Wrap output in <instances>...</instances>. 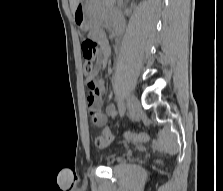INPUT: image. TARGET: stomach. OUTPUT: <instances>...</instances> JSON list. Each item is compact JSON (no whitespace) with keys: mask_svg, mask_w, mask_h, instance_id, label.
<instances>
[{"mask_svg":"<svg viewBox=\"0 0 223 191\" xmlns=\"http://www.w3.org/2000/svg\"><path fill=\"white\" fill-rule=\"evenodd\" d=\"M89 4L90 0H80L74 11L75 23L83 31H89L93 26Z\"/></svg>","mask_w":223,"mask_h":191,"instance_id":"1","label":"stomach"}]
</instances>
